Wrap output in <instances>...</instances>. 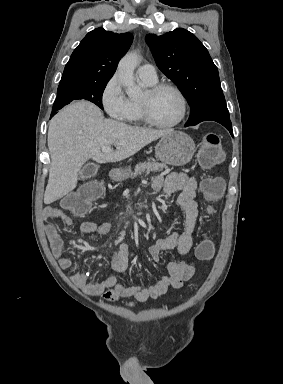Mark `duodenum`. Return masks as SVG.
Masks as SVG:
<instances>
[{
	"label": "duodenum",
	"mask_w": 283,
	"mask_h": 384,
	"mask_svg": "<svg viewBox=\"0 0 283 384\" xmlns=\"http://www.w3.org/2000/svg\"><path fill=\"white\" fill-rule=\"evenodd\" d=\"M120 174V169H114V177H118Z\"/></svg>",
	"instance_id": "1"
}]
</instances>
